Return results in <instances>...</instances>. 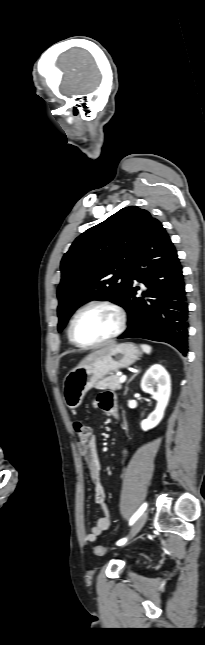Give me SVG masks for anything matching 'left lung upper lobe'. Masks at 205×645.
Instances as JSON below:
<instances>
[{
  "label": "left lung upper lobe",
  "instance_id": "left-lung-upper-lobe-1",
  "mask_svg": "<svg viewBox=\"0 0 205 645\" xmlns=\"http://www.w3.org/2000/svg\"><path fill=\"white\" fill-rule=\"evenodd\" d=\"M153 219L148 211L129 206L73 242L61 261L59 332L74 311L88 301L110 298L122 306L137 246Z\"/></svg>",
  "mask_w": 205,
  "mask_h": 645
}]
</instances>
